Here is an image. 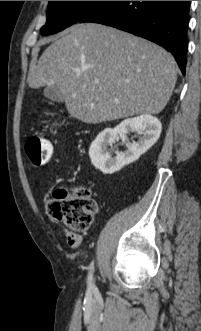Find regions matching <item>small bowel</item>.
Wrapping results in <instances>:
<instances>
[{
    "mask_svg": "<svg viewBox=\"0 0 201 331\" xmlns=\"http://www.w3.org/2000/svg\"><path fill=\"white\" fill-rule=\"evenodd\" d=\"M67 239L73 248H77L81 242V237L75 233H68Z\"/></svg>",
    "mask_w": 201,
    "mask_h": 331,
    "instance_id": "small-bowel-1",
    "label": "small bowel"
}]
</instances>
